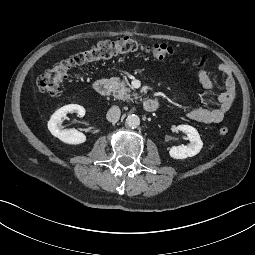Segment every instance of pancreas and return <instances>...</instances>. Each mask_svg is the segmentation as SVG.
<instances>
[{
	"mask_svg": "<svg viewBox=\"0 0 255 255\" xmlns=\"http://www.w3.org/2000/svg\"><path fill=\"white\" fill-rule=\"evenodd\" d=\"M110 83L113 86V96L115 98L123 101H133L139 98V95L132 92L131 88L128 87L130 85L127 80L120 81L118 77H113L110 79Z\"/></svg>",
	"mask_w": 255,
	"mask_h": 255,
	"instance_id": "cf45deb5",
	"label": "pancreas"
}]
</instances>
